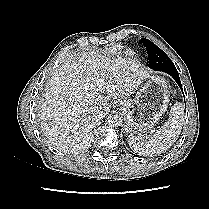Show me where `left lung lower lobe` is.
I'll return each instance as SVG.
<instances>
[{
    "mask_svg": "<svg viewBox=\"0 0 209 209\" xmlns=\"http://www.w3.org/2000/svg\"><path fill=\"white\" fill-rule=\"evenodd\" d=\"M167 74H169L170 76L173 77V79L176 81V83L179 85L180 89L183 91L182 89V85H181V81H180V78H179V74H178V71L176 68L174 69H167L165 71H163Z\"/></svg>",
    "mask_w": 209,
    "mask_h": 209,
    "instance_id": "obj_1",
    "label": "left lung lower lobe"
}]
</instances>
